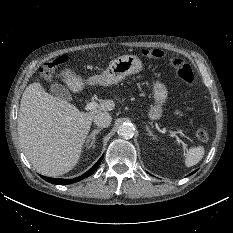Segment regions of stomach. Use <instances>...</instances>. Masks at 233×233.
<instances>
[{
	"mask_svg": "<svg viewBox=\"0 0 233 233\" xmlns=\"http://www.w3.org/2000/svg\"><path fill=\"white\" fill-rule=\"evenodd\" d=\"M142 61L135 55H123L112 60L107 69L101 75L89 78L91 84L109 86L117 84L126 76L138 73L142 70ZM152 96L154 104L150 106L148 116L151 120H158L162 117L163 105L167 100L168 91L161 82H153Z\"/></svg>",
	"mask_w": 233,
	"mask_h": 233,
	"instance_id": "stomach-1",
	"label": "stomach"
}]
</instances>
